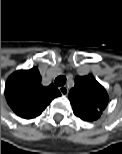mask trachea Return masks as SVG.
<instances>
[{
	"instance_id": "3493384b",
	"label": "trachea",
	"mask_w": 122,
	"mask_h": 154,
	"mask_svg": "<svg viewBox=\"0 0 122 154\" xmlns=\"http://www.w3.org/2000/svg\"><path fill=\"white\" fill-rule=\"evenodd\" d=\"M66 83V77L65 76H58L56 79H55V84L57 86H64Z\"/></svg>"
}]
</instances>
